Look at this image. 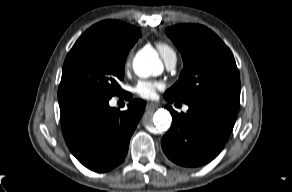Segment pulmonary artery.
Listing matches in <instances>:
<instances>
[{"instance_id":"e3ab8cb5","label":"pulmonary artery","mask_w":292,"mask_h":192,"mask_svg":"<svg viewBox=\"0 0 292 192\" xmlns=\"http://www.w3.org/2000/svg\"><path fill=\"white\" fill-rule=\"evenodd\" d=\"M176 61H177V57H176V55L171 56L170 58H168V59L165 61L166 67H167L168 69H173V68L175 67V65H176ZM184 110H185V111L188 110V107L185 106V107H184Z\"/></svg>"}]
</instances>
